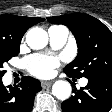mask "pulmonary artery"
Listing matches in <instances>:
<instances>
[{
	"instance_id": "pulmonary-artery-1",
	"label": "pulmonary artery",
	"mask_w": 112,
	"mask_h": 112,
	"mask_svg": "<svg viewBox=\"0 0 112 112\" xmlns=\"http://www.w3.org/2000/svg\"><path fill=\"white\" fill-rule=\"evenodd\" d=\"M68 29L64 26H52L48 29L50 44L54 49H59L64 46L68 38ZM80 84L85 86L87 79H82Z\"/></svg>"
}]
</instances>
